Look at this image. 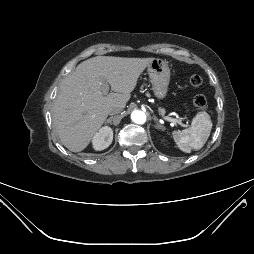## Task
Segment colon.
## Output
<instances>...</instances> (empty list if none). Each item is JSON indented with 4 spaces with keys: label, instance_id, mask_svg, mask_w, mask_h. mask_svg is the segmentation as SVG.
I'll return each instance as SVG.
<instances>
[{
    "label": "colon",
    "instance_id": "1",
    "mask_svg": "<svg viewBox=\"0 0 254 254\" xmlns=\"http://www.w3.org/2000/svg\"><path fill=\"white\" fill-rule=\"evenodd\" d=\"M202 83L201 76L193 74L189 77V84L193 87H198ZM193 105L197 109H201L206 105V99L203 95H197L193 99Z\"/></svg>",
    "mask_w": 254,
    "mask_h": 254
}]
</instances>
